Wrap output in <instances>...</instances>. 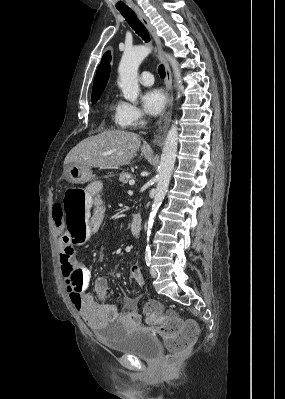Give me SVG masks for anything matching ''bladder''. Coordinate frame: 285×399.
<instances>
[{
	"label": "bladder",
	"instance_id": "bladder-1",
	"mask_svg": "<svg viewBox=\"0 0 285 399\" xmlns=\"http://www.w3.org/2000/svg\"><path fill=\"white\" fill-rule=\"evenodd\" d=\"M94 330H99L97 327ZM104 343L114 352L134 355L139 358L155 360L160 355L156 338L145 328H132L123 336L101 332Z\"/></svg>",
	"mask_w": 285,
	"mask_h": 399
}]
</instances>
